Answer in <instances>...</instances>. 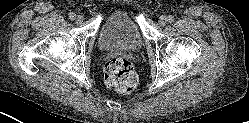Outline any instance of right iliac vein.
Segmentation results:
<instances>
[{
	"label": "right iliac vein",
	"mask_w": 249,
	"mask_h": 123,
	"mask_svg": "<svg viewBox=\"0 0 249 123\" xmlns=\"http://www.w3.org/2000/svg\"><path fill=\"white\" fill-rule=\"evenodd\" d=\"M84 18L82 15H78L75 18L76 23L81 24L83 22Z\"/></svg>",
	"instance_id": "1"
}]
</instances>
